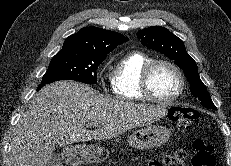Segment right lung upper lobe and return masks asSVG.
I'll list each match as a JSON object with an SVG mask.
<instances>
[{
	"mask_svg": "<svg viewBox=\"0 0 231 166\" xmlns=\"http://www.w3.org/2000/svg\"><path fill=\"white\" fill-rule=\"evenodd\" d=\"M128 41L120 33L98 27H84L64 41L60 51H73L85 55L106 56L118 45Z\"/></svg>",
	"mask_w": 231,
	"mask_h": 166,
	"instance_id": "obj_1",
	"label": "right lung upper lobe"
}]
</instances>
